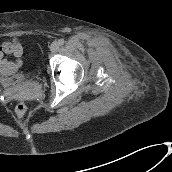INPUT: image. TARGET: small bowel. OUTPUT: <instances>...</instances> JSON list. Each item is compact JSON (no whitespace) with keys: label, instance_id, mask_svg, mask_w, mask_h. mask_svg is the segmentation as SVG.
I'll return each mask as SVG.
<instances>
[{"label":"small bowel","instance_id":"small-bowel-1","mask_svg":"<svg viewBox=\"0 0 172 172\" xmlns=\"http://www.w3.org/2000/svg\"><path fill=\"white\" fill-rule=\"evenodd\" d=\"M23 47L17 40L0 43V81L10 84L15 79L23 66ZM6 55H13L14 60L6 59Z\"/></svg>","mask_w":172,"mask_h":172}]
</instances>
